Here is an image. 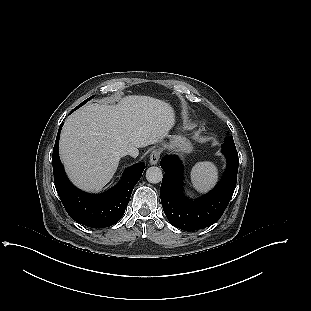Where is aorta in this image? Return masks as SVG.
<instances>
[{"instance_id": "1", "label": "aorta", "mask_w": 311, "mask_h": 311, "mask_svg": "<svg viewBox=\"0 0 311 311\" xmlns=\"http://www.w3.org/2000/svg\"><path fill=\"white\" fill-rule=\"evenodd\" d=\"M163 173L159 167L152 166L146 171V179L152 184H157L162 181Z\"/></svg>"}]
</instances>
